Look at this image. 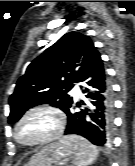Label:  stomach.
<instances>
[{
  "instance_id": "0dacf381",
  "label": "stomach",
  "mask_w": 135,
  "mask_h": 166,
  "mask_svg": "<svg viewBox=\"0 0 135 166\" xmlns=\"http://www.w3.org/2000/svg\"><path fill=\"white\" fill-rule=\"evenodd\" d=\"M71 149L61 141L40 149L25 166H74ZM72 161L70 162V160Z\"/></svg>"
}]
</instances>
